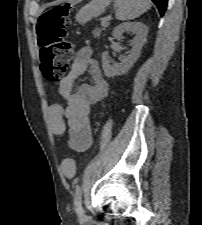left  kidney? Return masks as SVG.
Segmentation results:
<instances>
[{"label":"left kidney","instance_id":"left-kidney-1","mask_svg":"<svg viewBox=\"0 0 202 225\" xmlns=\"http://www.w3.org/2000/svg\"><path fill=\"white\" fill-rule=\"evenodd\" d=\"M125 32H133L136 36L131 41L132 50L128 56L123 57L121 63L110 60L109 53L102 54V68L107 77H114L127 73L140 56L141 49L146 42L148 27L141 22H125L113 30L112 36L121 39Z\"/></svg>","mask_w":202,"mask_h":225}]
</instances>
